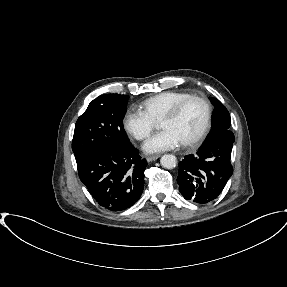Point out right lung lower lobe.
<instances>
[{
    "mask_svg": "<svg viewBox=\"0 0 287 287\" xmlns=\"http://www.w3.org/2000/svg\"><path fill=\"white\" fill-rule=\"evenodd\" d=\"M76 162L80 180L103 208L122 211L141 197L147 161L133 145L94 148Z\"/></svg>",
    "mask_w": 287,
    "mask_h": 287,
    "instance_id": "right-lung-lower-lobe-1",
    "label": "right lung lower lobe"
}]
</instances>
